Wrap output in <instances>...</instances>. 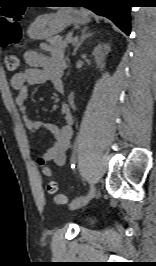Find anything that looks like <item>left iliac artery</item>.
<instances>
[{"label": "left iliac artery", "instance_id": "left-iliac-artery-1", "mask_svg": "<svg viewBox=\"0 0 156 266\" xmlns=\"http://www.w3.org/2000/svg\"><path fill=\"white\" fill-rule=\"evenodd\" d=\"M72 168L74 167L72 166ZM88 188H89V192L85 194L86 198H89L90 196H94L95 192L97 191V188H94L93 186V182H90V185H88Z\"/></svg>", "mask_w": 156, "mask_h": 266}]
</instances>
